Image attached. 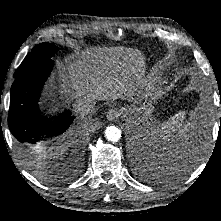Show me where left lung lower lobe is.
Wrapping results in <instances>:
<instances>
[{
    "label": "left lung lower lobe",
    "instance_id": "1",
    "mask_svg": "<svg viewBox=\"0 0 221 221\" xmlns=\"http://www.w3.org/2000/svg\"><path fill=\"white\" fill-rule=\"evenodd\" d=\"M144 142V151L147 153V156L150 157L151 161V167L154 170H157V175L160 177L163 176L165 173H171V175L168 176H176L179 173L180 168L185 165L190 160V155L192 152L193 144L189 142H183L176 146H174L172 149L168 150L166 153V160L169 162L170 165H173L172 167H162V164L159 163L161 161V158H159L156 155V152L153 151V140L151 137L141 138ZM159 159V160H157ZM152 177V176H150ZM149 174L144 175V178H150Z\"/></svg>",
    "mask_w": 221,
    "mask_h": 221
}]
</instances>
